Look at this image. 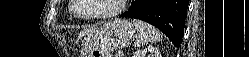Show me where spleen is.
Listing matches in <instances>:
<instances>
[{"mask_svg": "<svg viewBox=\"0 0 249 57\" xmlns=\"http://www.w3.org/2000/svg\"><path fill=\"white\" fill-rule=\"evenodd\" d=\"M132 23L138 33V39L135 42L136 46L139 47L149 42L162 40L160 32L152 25L138 19H132Z\"/></svg>", "mask_w": 249, "mask_h": 57, "instance_id": "1", "label": "spleen"}]
</instances>
